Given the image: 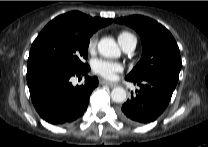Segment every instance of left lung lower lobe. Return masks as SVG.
<instances>
[{
	"mask_svg": "<svg viewBox=\"0 0 208 147\" xmlns=\"http://www.w3.org/2000/svg\"><path fill=\"white\" fill-rule=\"evenodd\" d=\"M129 81L140 86V90L122 105L119 116L132 124L156 120L166 109L177 84L167 77L157 75Z\"/></svg>",
	"mask_w": 208,
	"mask_h": 147,
	"instance_id": "obj_1",
	"label": "left lung lower lobe"
}]
</instances>
